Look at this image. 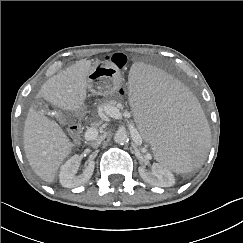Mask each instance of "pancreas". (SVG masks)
Returning <instances> with one entry per match:
<instances>
[{
	"instance_id": "obj_1",
	"label": "pancreas",
	"mask_w": 243,
	"mask_h": 243,
	"mask_svg": "<svg viewBox=\"0 0 243 243\" xmlns=\"http://www.w3.org/2000/svg\"><path fill=\"white\" fill-rule=\"evenodd\" d=\"M119 106H120V105L117 104V102L114 101V100L104 101V102H102V103L99 105V107L103 108V110L106 112V114H107V111L109 110L110 107H114V108L118 109ZM118 110H119V109H118ZM125 117H127V115H125Z\"/></svg>"
}]
</instances>
